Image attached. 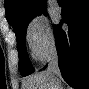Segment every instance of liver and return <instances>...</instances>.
Here are the masks:
<instances>
[{"label":"liver","instance_id":"liver-1","mask_svg":"<svg viewBox=\"0 0 89 89\" xmlns=\"http://www.w3.org/2000/svg\"><path fill=\"white\" fill-rule=\"evenodd\" d=\"M59 83L56 76L43 71L32 75L22 85V89H53V83Z\"/></svg>","mask_w":89,"mask_h":89}]
</instances>
